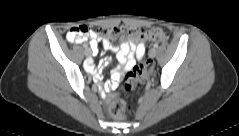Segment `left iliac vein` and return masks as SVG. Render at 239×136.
Segmentation results:
<instances>
[{
  "mask_svg": "<svg viewBox=\"0 0 239 136\" xmlns=\"http://www.w3.org/2000/svg\"><path fill=\"white\" fill-rule=\"evenodd\" d=\"M149 56L151 57V58H154L155 56H156V50H155V48H151L150 50H149Z\"/></svg>",
  "mask_w": 239,
  "mask_h": 136,
  "instance_id": "1",
  "label": "left iliac vein"
}]
</instances>
